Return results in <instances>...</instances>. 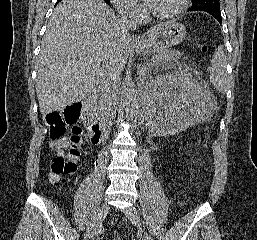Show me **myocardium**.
I'll use <instances>...</instances> for the list:
<instances>
[{"label":"myocardium","mask_w":257,"mask_h":240,"mask_svg":"<svg viewBox=\"0 0 257 240\" xmlns=\"http://www.w3.org/2000/svg\"><path fill=\"white\" fill-rule=\"evenodd\" d=\"M187 6H188V0H179L178 5L173 10L167 13H156L151 11L150 15L152 18L157 20H169L183 13L187 8Z\"/></svg>","instance_id":"1"}]
</instances>
